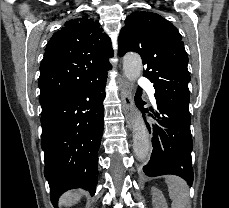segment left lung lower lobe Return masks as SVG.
Wrapping results in <instances>:
<instances>
[{
    "label": "left lung lower lobe",
    "instance_id": "1",
    "mask_svg": "<svg viewBox=\"0 0 229 208\" xmlns=\"http://www.w3.org/2000/svg\"><path fill=\"white\" fill-rule=\"evenodd\" d=\"M145 102L137 97V105L143 113L157 121L153 125V151L149 163L143 167L149 177L173 174L183 178L188 185L193 183L191 151L193 141L190 132V115L173 110L165 103L157 101L156 111L150 107L143 109ZM150 130V126L147 123ZM151 132V131H150Z\"/></svg>",
    "mask_w": 229,
    "mask_h": 208
}]
</instances>
